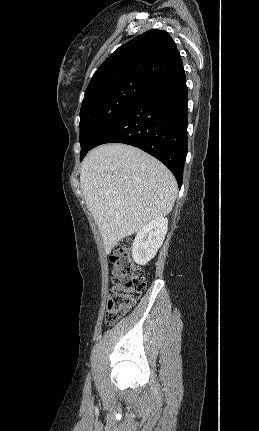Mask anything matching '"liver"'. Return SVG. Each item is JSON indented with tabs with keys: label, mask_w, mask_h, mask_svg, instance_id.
<instances>
[{
	"label": "liver",
	"mask_w": 259,
	"mask_h": 431,
	"mask_svg": "<svg viewBox=\"0 0 259 431\" xmlns=\"http://www.w3.org/2000/svg\"><path fill=\"white\" fill-rule=\"evenodd\" d=\"M80 183L109 254L123 238L169 214L177 196L171 171L144 151L105 144L83 160Z\"/></svg>",
	"instance_id": "6515ba94"
}]
</instances>
